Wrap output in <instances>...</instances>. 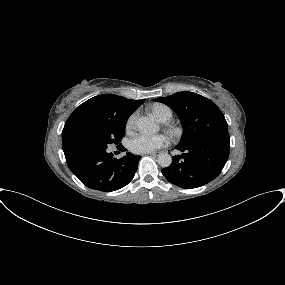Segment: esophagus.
<instances>
[{"label": "esophagus", "mask_w": 285, "mask_h": 285, "mask_svg": "<svg viewBox=\"0 0 285 285\" xmlns=\"http://www.w3.org/2000/svg\"><path fill=\"white\" fill-rule=\"evenodd\" d=\"M160 154H161L160 152L148 153L149 156H159Z\"/></svg>", "instance_id": "obj_1"}]
</instances>
